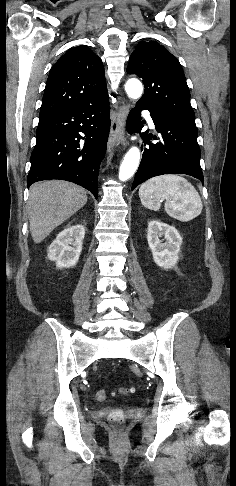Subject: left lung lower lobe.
I'll list each match as a JSON object with an SVG mask.
<instances>
[{
  "mask_svg": "<svg viewBox=\"0 0 236 486\" xmlns=\"http://www.w3.org/2000/svg\"><path fill=\"white\" fill-rule=\"evenodd\" d=\"M141 110L150 111L155 128L161 135L160 142L153 144L149 141L152 136L148 138L147 132L140 134L145 147L132 190L149 178L163 174H187L203 183L197 127L173 120L160 113L155 106L138 101L128 116L127 130L130 133L140 132L143 127L140 123Z\"/></svg>",
  "mask_w": 236,
  "mask_h": 486,
  "instance_id": "1",
  "label": "left lung lower lobe"
}]
</instances>
